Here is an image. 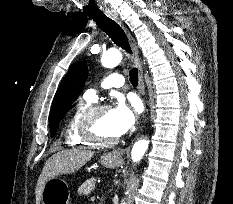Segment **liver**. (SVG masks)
Masks as SVG:
<instances>
[{"label": "liver", "instance_id": "1", "mask_svg": "<svg viewBox=\"0 0 233 204\" xmlns=\"http://www.w3.org/2000/svg\"><path fill=\"white\" fill-rule=\"evenodd\" d=\"M93 155V151L83 149H68L52 155L46 161L37 181L35 189L36 204H40L42 190L49 179L62 174L74 173L85 165Z\"/></svg>", "mask_w": 233, "mask_h": 204}]
</instances>
